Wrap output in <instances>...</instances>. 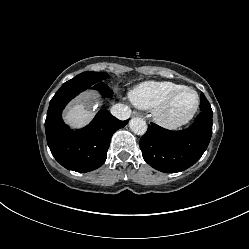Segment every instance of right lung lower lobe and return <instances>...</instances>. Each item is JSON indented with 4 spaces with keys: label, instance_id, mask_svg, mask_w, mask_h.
Listing matches in <instances>:
<instances>
[{
    "label": "right lung lower lobe",
    "instance_id": "right-lung-lower-lobe-1",
    "mask_svg": "<svg viewBox=\"0 0 249 249\" xmlns=\"http://www.w3.org/2000/svg\"><path fill=\"white\" fill-rule=\"evenodd\" d=\"M89 87L100 91L104 97L112 96L104 82L92 84L88 80L71 79L50 101L45 121L52 155L62 166L77 172H89L103 165L112 135L128 123V120L120 121L107 110H101L88 126L71 130L62 120V110L72 98Z\"/></svg>",
    "mask_w": 249,
    "mask_h": 249
}]
</instances>
